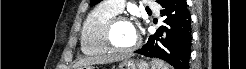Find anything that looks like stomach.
<instances>
[{
  "label": "stomach",
  "instance_id": "stomach-1",
  "mask_svg": "<svg viewBox=\"0 0 246 69\" xmlns=\"http://www.w3.org/2000/svg\"><path fill=\"white\" fill-rule=\"evenodd\" d=\"M78 69H95L94 66H84ZM119 69H148V64L144 60L126 59L119 65Z\"/></svg>",
  "mask_w": 246,
  "mask_h": 69
}]
</instances>
